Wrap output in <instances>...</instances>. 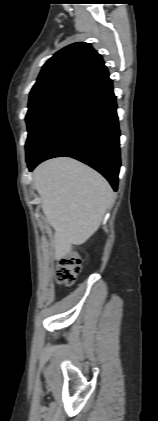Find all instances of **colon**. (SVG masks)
<instances>
[{
	"mask_svg": "<svg viewBox=\"0 0 158 421\" xmlns=\"http://www.w3.org/2000/svg\"><path fill=\"white\" fill-rule=\"evenodd\" d=\"M81 271V260L76 252H71L60 259L57 267V280L60 284L71 285Z\"/></svg>",
	"mask_w": 158,
	"mask_h": 421,
	"instance_id": "1",
	"label": "colon"
}]
</instances>
